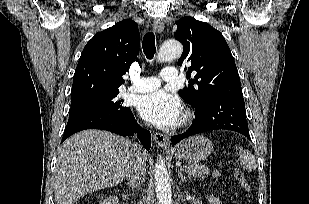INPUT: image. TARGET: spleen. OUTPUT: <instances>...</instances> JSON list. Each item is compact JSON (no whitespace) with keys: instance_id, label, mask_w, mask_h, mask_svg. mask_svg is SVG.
Returning <instances> with one entry per match:
<instances>
[{"instance_id":"spleen-1","label":"spleen","mask_w":309,"mask_h":204,"mask_svg":"<svg viewBox=\"0 0 309 204\" xmlns=\"http://www.w3.org/2000/svg\"><path fill=\"white\" fill-rule=\"evenodd\" d=\"M236 151L237 155H239L240 164L244 169L249 172H253L257 169L255 158L250 151H244L241 147H238Z\"/></svg>"}]
</instances>
